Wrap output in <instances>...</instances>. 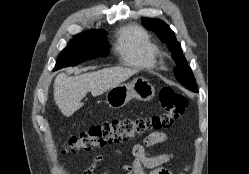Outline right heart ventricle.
Returning a JSON list of instances; mask_svg holds the SVG:
<instances>
[{"mask_svg":"<svg viewBox=\"0 0 249 174\" xmlns=\"http://www.w3.org/2000/svg\"><path fill=\"white\" fill-rule=\"evenodd\" d=\"M116 51L121 61L135 68H152L157 64V49L147 32L137 25L122 28L117 36Z\"/></svg>","mask_w":249,"mask_h":174,"instance_id":"e07e8e85","label":"right heart ventricle"}]
</instances>
